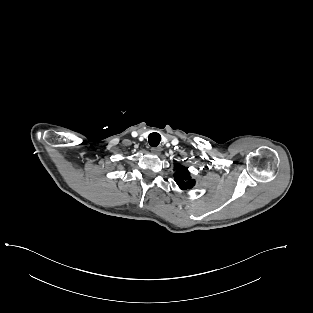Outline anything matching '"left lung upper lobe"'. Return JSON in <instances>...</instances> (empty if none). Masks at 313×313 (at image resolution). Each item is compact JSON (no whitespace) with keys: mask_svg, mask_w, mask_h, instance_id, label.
<instances>
[{"mask_svg":"<svg viewBox=\"0 0 313 313\" xmlns=\"http://www.w3.org/2000/svg\"><path fill=\"white\" fill-rule=\"evenodd\" d=\"M174 178L177 185L182 190L191 189L195 185V180L191 179L188 169L181 165H177Z\"/></svg>","mask_w":313,"mask_h":313,"instance_id":"left-lung-upper-lobe-1","label":"left lung upper lobe"}]
</instances>
